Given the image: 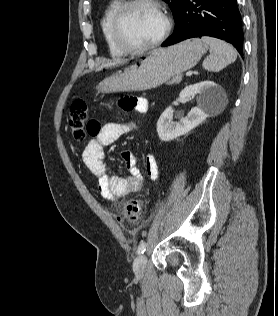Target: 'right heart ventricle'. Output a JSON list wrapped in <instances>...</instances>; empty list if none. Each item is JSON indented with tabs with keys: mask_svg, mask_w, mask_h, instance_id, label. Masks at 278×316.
I'll return each mask as SVG.
<instances>
[{
	"mask_svg": "<svg viewBox=\"0 0 278 316\" xmlns=\"http://www.w3.org/2000/svg\"><path fill=\"white\" fill-rule=\"evenodd\" d=\"M124 3V0H110L105 6L100 18V28L106 43L109 54L114 58H120L126 55L115 42L112 32V21L115 13Z\"/></svg>",
	"mask_w": 278,
	"mask_h": 316,
	"instance_id": "obj_1",
	"label": "right heart ventricle"
}]
</instances>
